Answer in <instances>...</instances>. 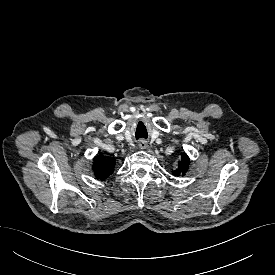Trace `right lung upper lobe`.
Wrapping results in <instances>:
<instances>
[{"mask_svg":"<svg viewBox=\"0 0 275 275\" xmlns=\"http://www.w3.org/2000/svg\"><path fill=\"white\" fill-rule=\"evenodd\" d=\"M114 166L115 160L113 158L107 159L101 155H97L94 158L92 169L96 178L103 180L113 173Z\"/></svg>","mask_w":275,"mask_h":275,"instance_id":"cb5924a9","label":"right lung upper lobe"}]
</instances>
